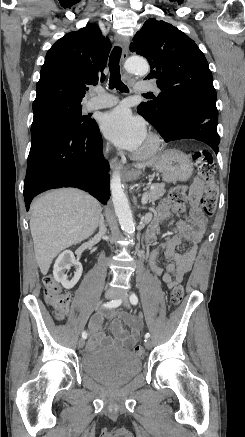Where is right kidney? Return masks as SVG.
<instances>
[{"label": "right kidney", "instance_id": "obj_1", "mask_svg": "<svg viewBox=\"0 0 245 437\" xmlns=\"http://www.w3.org/2000/svg\"><path fill=\"white\" fill-rule=\"evenodd\" d=\"M71 267H74V275L68 276L65 271H69ZM82 271V264L75 259L73 252L66 250L56 259L53 268V275L54 279L57 282H60L64 288L71 289L79 281Z\"/></svg>", "mask_w": 245, "mask_h": 437}]
</instances>
